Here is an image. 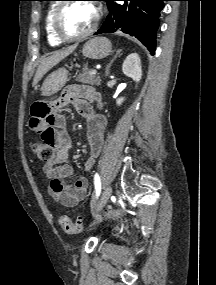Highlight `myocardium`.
Masks as SVG:
<instances>
[{"mask_svg": "<svg viewBox=\"0 0 216 285\" xmlns=\"http://www.w3.org/2000/svg\"><path fill=\"white\" fill-rule=\"evenodd\" d=\"M72 3L73 2H62V3H60L57 6L55 13L53 15V19H52L53 33L56 36V38L62 42H75V41H80V40L86 39L87 37L91 36L96 31V29L98 28L99 23H100L101 10L97 5L91 3L94 5V7L96 9V18H95L93 25L87 31H85L84 33L79 34V35L71 36V35H67L66 33H64V31L61 28V19H62V16H63L65 9Z\"/></svg>", "mask_w": 216, "mask_h": 285, "instance_id": "obj_1", "label": "myocardium"}]
</instances>
